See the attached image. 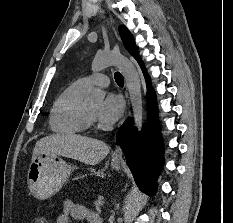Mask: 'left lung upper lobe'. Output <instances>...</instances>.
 <instances>
[{"label":"left lung upper lobe","instance_id":"1","mask_svg":"<svg viewBox=\"0 0 233 223\" xmlns=\"http://www.w3.org/2000/svg\"><path fill=\"white\" fill-rule=\"evenodd\" d=\"M119 32L125 48L131 55H133L136 58L138 56V52L132 34L128 31V29L125 26H120Z\"/></svg>","mask_w":233,"mask_h":223}]
</instances>
